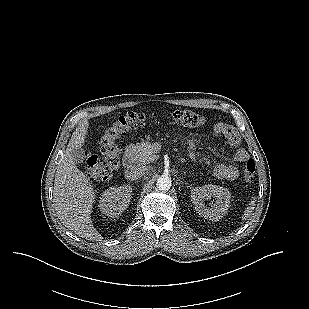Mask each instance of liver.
<instances>
[{"label":"liver","instance_id":"obj_1","mask_svg":"<svg viewBox=\"0 0 309 309\" xmlns=\"http://www.w3.org/2000/svg\"><path fill=\"white\" fill-rule=\"evenodd\" d=\"M88 126L87 120L81 122L69 140L55 174L53 201L57 216L65 227L89 241H100L102 237L91 220L95 198L93 186L77 168L71 154L73 149L84 145Z\"/></svg>","mask_w":309,"mask_h":309}]
</instances>
